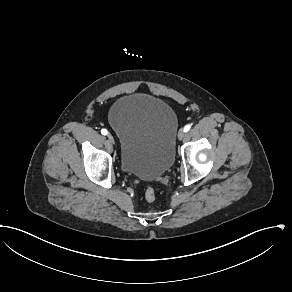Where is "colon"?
I'll use <instances>...</instances> for the list:
<instances>
[{"label":"colon","instance_id":"5ec220e1","mask_svg":"<svg viewBox=\"0 0 292 292\" xmlns=\"http://www.w3.org/2000/svg\"><path fill=\"white\" fill-rule=\"evenodd\" d=\"M145 201L152 204L156 201V191L153 187H147L144 193Z\"/></svg>","mask_w":292,"mask_h":292}]
</instances>
